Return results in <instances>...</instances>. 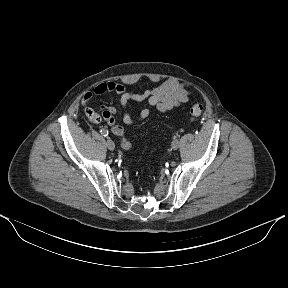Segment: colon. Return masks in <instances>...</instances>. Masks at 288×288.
Returning a JSON list of instances; mask_svg holds the SVG:
<instances>
[{
  "mask_svg": "<svg viewBox=\"0 0 288 288\" xmlns=\"http://www.w3.org/2000/svg\"><path fill=\"white\" fill-rule=\"evenodd\" d=\"M203 111V106L201 104H194L191 108H190V118L191 120H195L196 118H198ZM86 115L88 117V119L92 122H99L101 120V115L98 114L96 111H94L93 109H87L86 110ZM122 145L124 148H129L130 147V143L126 140L122 141Z\"/></svg>",
  "mask_w": 288,
  "mask_h": 288,
  "instance_id": "1",
  "label": "colon"
}]
</instances>
